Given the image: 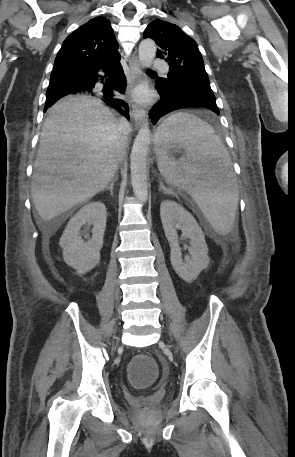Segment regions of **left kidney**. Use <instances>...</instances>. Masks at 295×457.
Masks as SVG:
<instances>
[{
    "instance_id": "left-kidney-1",
    "label": "left kidney",
    "mask_w": 295,
    "mask_h": 457,
    "mask_svg": "<svg viewBox=\"0 0 295 457\" xmlns=\"http://www.w3.org/2000/svg\"><path fill=\"white\" fill-rule=\"evenodd\" d=\"M160 217L171 249L172 267L180 278L190 283L208 267L210 262L203 231L195 218L174 201L167 200L161 203ZM176 228H180L183 235L190 239L189 259H182Z\"/></svg>"
}]
</instances>
